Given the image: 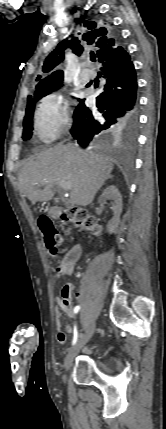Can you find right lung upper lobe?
<instances>
[{
    "instance_id": "obj_1",
    "label": "right lung upper lobe",
    "mask_w": 166,
    "mask_h": 429,
    "mask_svg": "<svg viewBox=\"0 0 166 429\" xmlns=\"http://www.w3.org/2000/svg\"><path fill=\"white\" fill-rule=\"evenodd\" d=\"M89 31L82 35V38L72 37L71 40H63L57 47L47 56L43 64V72H49L55 68L59 63L64 60V51L70 48L74 54L80 55L83 52V46L80 44L81 40L85 41L88 45L93 44L97 47L96 56L99 62H104L112 58L117 57L124 52L123 47L118 46V42L115 38L110 37L103 28L95 29L94 27H88ZM38 75L37 80L40 79ZM63 80V72L58 70L53 72L51 75L42 79L38 84H55L61 83ZM37 85V86H38ZM30 96H28L29 98Z\"/></svg>"
}]
</instances>
